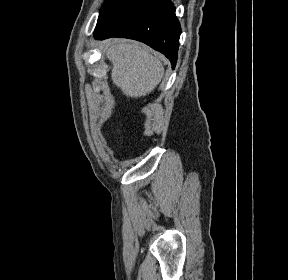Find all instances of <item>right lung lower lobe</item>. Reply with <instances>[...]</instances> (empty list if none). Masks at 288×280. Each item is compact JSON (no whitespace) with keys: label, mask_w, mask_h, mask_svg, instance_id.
I'll use <instances>...</instances> for the list:
<instances>
[{"label":"right lung lower lobe","mask_w":288,"mask_h":280,"mask_svg":"<svg viewBox=\"0 0 288 280\" xmlns=\"http://www.w3.org/2000/svg\"><path fill=\"white\" fill-rule=\"evenodd\" d=\"M180 24L169 0H124L99 16L96 39L123 37L141 41L164 54L174 69Z\"/></svg>","instance_id":"98d812e1"}]
</instances>
